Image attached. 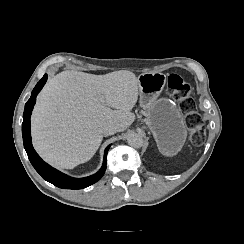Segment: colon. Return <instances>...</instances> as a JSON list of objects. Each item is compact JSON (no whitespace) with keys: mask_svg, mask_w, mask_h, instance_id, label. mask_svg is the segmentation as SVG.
<instances>
[{"mask_svg":"<svg viewBox=\"0 0 244 244\" xmlns=\"http://www.w3.org/2000/svg\"><path fill=\"white\" fill-rule=\"evenodd\" d=\"M167 91L174 94V98L188 117L191 126V141L194 144L201 143L205 138V130L201 125L200 116L196 112V103L191 94V86L178 74H171L167 78Z\"/></svg>","mask_w":244,"mask_h":244,"instance_id":"1","label":"colon"}]
</instances>
